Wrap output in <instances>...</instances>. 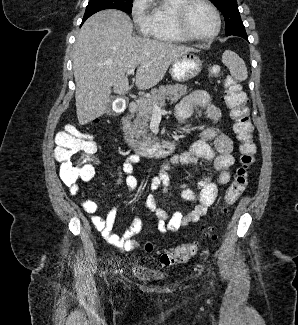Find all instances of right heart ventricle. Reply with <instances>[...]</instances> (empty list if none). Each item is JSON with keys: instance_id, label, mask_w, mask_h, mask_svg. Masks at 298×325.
<instances>
[{"instance_id": "obj_1", "label": "right heart ventricle", "mask_w": 298, "mask_h": 325, "mask_svg": "<svg viewBox=\"0 0 298 325\" xmlns=\"http://www.w3.org/2000/svg\"><path fill=\"white\" fill-rule=\"evenodd\" d=\"M176 0H162L156 2L151 10V22L157 26L162 35L161 41H178V44L185 43L187 40L177 35L172 28V6Z\"/></svg>"}]
</instances>
